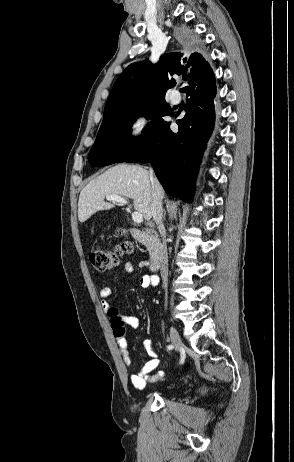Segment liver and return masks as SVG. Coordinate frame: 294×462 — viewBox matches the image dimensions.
<instances>
[{"instance_id": "1", "label": "liver", "mask_w": 294, "mask_h": 462, "mask_svg": "<svg viewBox=\"0 0 294 462\" xmlns=\"http://www.w3.org/2000/svg\"><path fill=\"white\" fill-rule=\"evenodd\" d=\"M153 186L160 198L163 199L164 190L161 184L157 179H154L152 185L147 170L137 165L128 164L111 167L82 189L78 201L79 221L85 222L97 211L115 207L114 203L104 201L107 195L131 198L136 211L149 221L152 218Z\"/></svg>"}]
</instances>
